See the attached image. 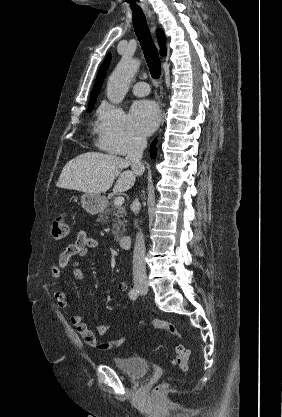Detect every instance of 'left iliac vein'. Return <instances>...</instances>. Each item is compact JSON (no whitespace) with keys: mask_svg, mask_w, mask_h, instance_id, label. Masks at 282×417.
I'll return each mask as SVG.
<instances>
[{"mask_svg":"<svg viewBox=\"0 0 282 417\" xmlns=\"http://www.w3.org/2000/svg\"><path fill=\"white\" fill-rule=\"evenodd\" d=\"M147 292H148V289H146L145 291H141L140 293H141L142 295H145V294H147Z\"/></svg>","mask_w":282,"mask_h":417,"instance_id":"1","label":"left iliac vein"}]
</instances>
